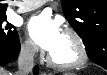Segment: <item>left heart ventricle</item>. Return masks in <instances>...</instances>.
<instances>
[{
    "instance_id": "b2bd125f",
    "label": "left heart ventricle",
    "mask_w": 107,
    "mask_h": 75,
    "mask_svg": "<svg viewBox=\"0 0 107 75\" xmlns=\"http://www.w3.org/2000/svg\"><path fill=\"white\" fill-rule=\"evenodd\" d=\"M50 54L53 59L59 63H70L78 57V52L74 41L64 33L58 46Z\"/></svg>"
}]
</instances>
